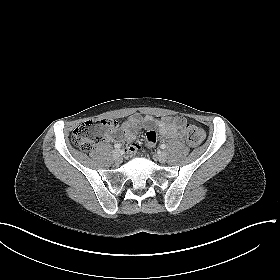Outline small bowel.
Masks as SVG:
<instances>
[{
  "mask_svg": "<svg viewBox=\"0 0 280 280\" xmlns=\"http://www.w3.org/2000/svg\"><path fill=\"white\" fill-rule=\"evenodd\" d=\"M185 124L186 121L182 117L156 118L152 115L131 117L122 124L118 139H125L129 143L126 153L127 155L132 156L140 149V145L135 142L136 132L133 129L135 125L143 127L153 126L157 129L154 130L150 128L145 134L146 145L152 147L157 143L158 135L167 138L182 139L184 136Z\"/></svg>",
  "mask_w": 280,
  "mask_h": 280,
  "instance_id": "obj_1",
  "label": "small bowel"
}]
</instances>
